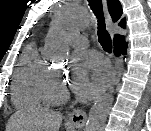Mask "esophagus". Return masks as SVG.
Returning a JSON list of instances; mask_svg holds the SVG:
<instances>
[{"label":"esophagus","mask_w":151,"mask_h":131,"mask_svg":"<svg viewBox=\"0 0 151 131\" xmlns=\"http://www.w3.org/2000/svg\"><path fill=\"white\" fill-rule=\"evenodd\" d=\"M103 6H104L107 29L110 32H112L113 22L107 10L106 0H103ZM123 67H124L123 59L121 57L117 58L116 63H115V69H114V78H113L112 83L109 86L110 91H113L115 85L119 82V79L123 71ZM86 119H87V115H86V112L83 110H74L69 115V122L77 128L84 127Z\"/></svg>","instance_id":"1"}]
</instances>
